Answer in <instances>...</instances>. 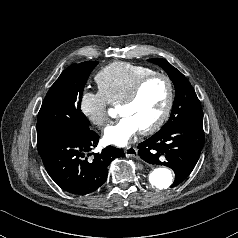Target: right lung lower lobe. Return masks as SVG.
Masks as SVG:
<instances>
[{"mask_svg": "<svg viewBox=\"0 0 238 238\" xmlns=\"http://www.w3.org/2000/svg\"><path fill=\"white\" fill-rule=\"evenodd\" d=\"M99 136L92 130L56 135L38 143V152L53 181L71 194L86 195L99 189L107 179V166L121 149L107 146L101 153L86 156L98 144Z\"/></svg>", "mask_w": 238, "mask_h": 238, "instance_id": "1", "label": "right lung lower lobe"}]
</instances>
